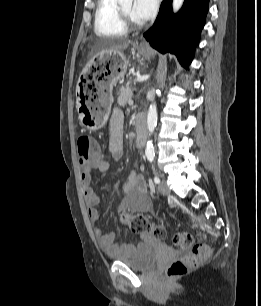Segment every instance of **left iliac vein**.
<instances>
[{"mask_svg": "<svg viewBox=\"0 0 261 306\" xmlns=\"http://www.w3.org/2000/svg\"><path fill=\"white\" fill-rule=\"evenodd\" d=\"M158 189H159V193L161 195L166 196L170 193V189H169L165 179H162L161 183L159 184Z\"/></svg>", "mask_w": 261, "mask_h": 306, "instance_id": "left-iliac-vein-1", "label": "left iliac vein"}]
</instances>
